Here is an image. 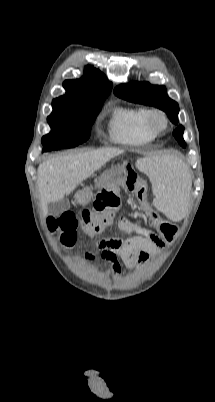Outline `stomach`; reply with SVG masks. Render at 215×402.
I'll return each mask as SVG.
<instances>
[{
  "instance_id": "1",
  "label": "stomach",
  "mask_w": 215,
  "mask_h": 402,
  "mask_svg": "<svg viewBox=\"0 0 215 402\" xmlns=\"http://www.w3.org/2000/svg\"><path fill=\"white\" fill-rule=\"evenodd\" d=\"M126 176V169L123 164L115 163L114 168H109L108 166L106 169L101 173L96 180V188H102L106 186L107 183L111 181H117L119 178ZM92 187H86L82 190H79L75 194V199L81 205H86L90 202L91 198L93 197Z\"/></svg>"
}]
</instances>
